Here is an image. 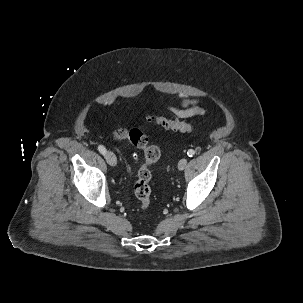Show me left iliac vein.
I'll use <instances>...</instances> for the list:
<instances>
[{"instance_id":"obj_1","label":"left iliac vein","mask_w":303,"mask_h":303,"mask_svg":"<svg viewBox=\"0 0 303 303\" xmlns=\"http://www.w3.org/2000/svg\"><path fill=\"white\" fill-rule=\"evenodd\" d=\"M187 165V159L186 158H182L179 162H178V169L179 170H184L185 167Z\"/></svg>"}]
</instances>
